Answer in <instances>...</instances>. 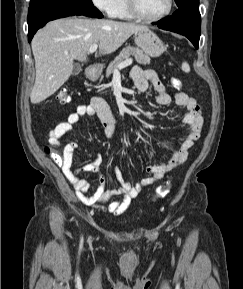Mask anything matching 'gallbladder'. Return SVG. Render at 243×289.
Masks as SVG:
<instances>
[{
	"label": "gallbladder",
	"instance_id": "1",
	"mask_svg": "<svg viewBox=\"0 0 243 289\" xmlns=\"http://www.w3.org/2000/svg\"><path fill=\"white\" fill-rule=\"evenodd\" d=\"M82 71V67L80 65H75L73 68L72 75H78Z\"/></svg>",
	"mask_w": 243,
	"mask_h": 289
}]
</instances>
